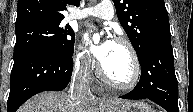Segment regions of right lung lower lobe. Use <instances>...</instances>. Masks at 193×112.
<instances>
[{"label": "right lung lower lobe", "mask_w": 193, "mask_h": 112, "mask_svg": "<svg viewBox=\"0 0 193 112\" xmlns=\"http://www.w3.org/2000/svg\"><path fill=\"white\" fill-rule=\"evenodd\" d=\"M72 71V56L61 54L51 47L33 49L14 58L7 112H16L37 93L65 89Z\"/></svg>", "instance_id": "right-lung-lower-lobe-1"}]
</instances>
